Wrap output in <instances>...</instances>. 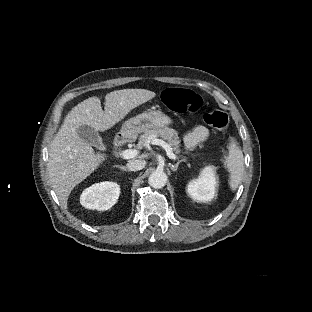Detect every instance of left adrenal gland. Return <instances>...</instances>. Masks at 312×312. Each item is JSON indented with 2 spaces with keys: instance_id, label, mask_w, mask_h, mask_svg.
Returning a JSON list of instances; mask_svg holds the SVG:
<instances>
[{
  "instance_id": "1",
  "label": "left adrenal gland",
  "mask_w": 312,
  "mask_h": 312,
  "mask_svg": "<svg viewBox=\"0 0 312 312\" xmlns=\"http://www.w3.org/2000/svg\"><path fill=\"white\" fill-rule=\"evenodd\" d=\"M183 161V159L181 161H179L176 165H171L169 164V167L172 171L176 172L178 170V167L180 165V163Z\"/></svg>"
}]
</instances>
